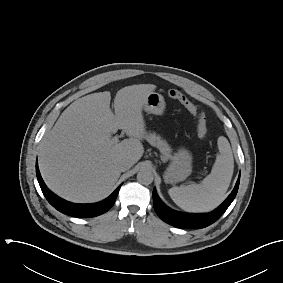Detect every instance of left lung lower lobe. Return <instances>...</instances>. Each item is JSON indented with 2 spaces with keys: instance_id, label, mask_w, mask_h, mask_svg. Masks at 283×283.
<instances>
[{
  "instance_id": "1",
  "label": "left lung lower lobe",
  "mask_w": 283,
  "mask_h": 283,
  "mask_svg": "<svg viewBox=\"0 0 283 283\" xmlns=\"http://www.w3.org/2000/svg\"><path fill=\"white\" fill-rule=\"evenodd\" d=\"M240 176L236 182V185L228 196V198L214 211L207 214H189L182 213L167 207L158 197L155 188L153 189V204L157 215L166 223L183 229H198L204 228L216 220L226 211L229 205L234 200L238 187H239Z\"/></svg>"
}]
</instances>
